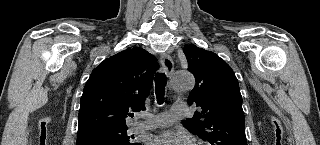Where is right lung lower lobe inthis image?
I'll return each mask as SVG.
<instances>
[{
	"label": "right lung lower lobe",
	"instance_id": "98d812e1",
	"mask_svg": "<svg viewBox=\"0 0 320 145\" xmlns=\"http://www.w3.org/2000/svg\"><path fill=\"white\" fill-rule=\"evenodd\" d=\"M76 145H116L97 137H78Z\"/></svg>",
	"mask_w": 320,
	"mask_h": 145
}]
</instances>
